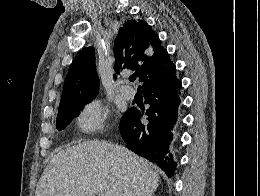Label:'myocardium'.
Here are the masks:
<instances>
[{
	"label": "myocardium",
	"instance_id": "1",
	"mask_svg": "<svg viewBox=\"0 0 260 196\" xmlns=\"http://www.w3.org/2000/svg\"><path fill=\"white\" fill-rule=\"evenodd\" d=\"M50 192H54V190H50ZM89 192H97V190H89Z\"/></svg>",
	"mask_w": 260,
	"mask_h": 196
}]
</instances>
